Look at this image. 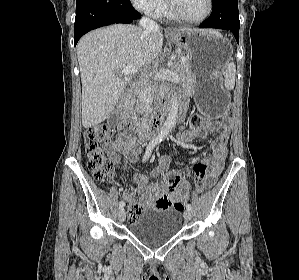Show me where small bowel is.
I'll use <instances>...</instances> for the list:
<instances>
[{"label": "small bowel", "instance_id": "1", "mask_svg": "<svg viewBox=\"0 0 299 280\" xmlns=\"http://www.w3.org/2000/svg\"><path fill=\"white\" fill-rule=\"evenodd\" d=\"M185 105L183 104V109ZM182 112L180 114V122H182ZM183 125L179 127L178 144L182 148H189L194 138H204L208 132H218V136L211 146V154L202 161L208 166L207 177L212 182L221 173L224 161L227 155V144L230 134V123L225 121L218 123L216 121H205L200 127L198 133H192L191 129ZM107 153L117 160L116 152H120L131 160L138 157L132 139L125 133L119 134L116 141L106 146ZM168 165V159L163 158L159 167L153 171V175H157L165 170ZM191 174L187 173L186 177H182L177 171H167L163 173V179L157 182H151L149 177L142 173H135L133 176L136 183V192L140 195L141 202L146 208H170L177 201H186L189 196ZM123 198L133 204L136 201L135 196L131 192H124Z\"/></svg>", "mask_w": 299, "mask_h": 280}]
</instances>
